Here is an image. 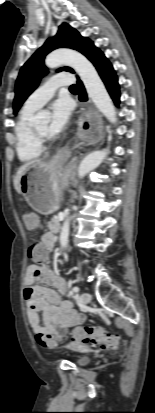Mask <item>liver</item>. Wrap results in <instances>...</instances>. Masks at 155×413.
<instances>
[{
  "label": "liver",
  "instance_id": "obj_1",
  "mask_svg": "<svg viewBox=\"0 0 155 413\" xmlns=\"http://www.w3.org/2000/svg\"><path fill=\"white\" fill-rule=\"evenodd\" d=\"M35 163H39V160H35L32 162H27L25 164H23L17 171L16 176L14 177V188L15 190L20 193V179L22 177V175L24 174V172L27 170L28 167L34 165Z\"/></svg>",
  "mask_w": 155,
  "mask_h": 413
}]
</instances>
